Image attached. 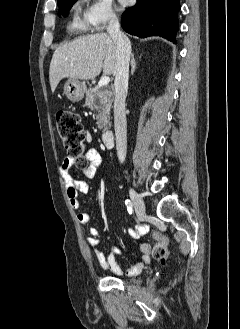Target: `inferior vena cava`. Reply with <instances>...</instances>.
Here are the masks:
<instances>
[{
	"label": "inferior vena cava",
	"instance_id": "obj_1",
	"mask_svg": "<svg viewBox=\"0 0 240 329\" xmlns=\"http://www.w3.org/2000/svg\"><path fill=\"white\" fill-rule=\"evenodd\" d=\"M107 32L112 37L116 45L114 125L117 156L119 161L123 163L127 152L125 99L128 90L131 43L128 37L120 30L119 20L116 16L111 17L107 27Z\"/></svg>",
	"mask_w": 240,
	"mask_h": 329
}]
</instances>
